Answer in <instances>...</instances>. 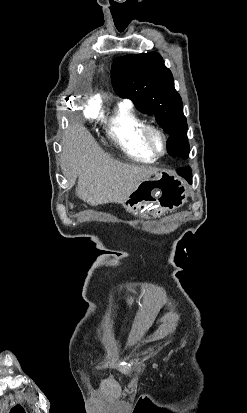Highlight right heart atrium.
I'll return each mask as SVG.
<instances>
[{
	"label": "right heart atrium",
	"instance_id": "1",
	"mask_svg": "<svg viewBox=\"0 0 247 413\" xmlns=\"http://www.w3.org/2000/svg\"><path fill=\"white\" fill-rule=\"evenodd\" d=\"M102 108H103L102 100H91L90 105H85L84 107V117L86 119H99L101 117L100 111ZM78 130H83V129H78Z\"/></svg>",
	"mask_w": 247,
	"mask_h": 413
}]
</instances>
